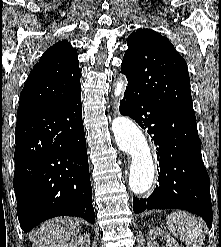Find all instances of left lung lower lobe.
<instances>
[{"mask_svg": "<svg viewBox=\"0 0 221 247\" xmlns=\"http://www.w3.org/2000/svg\"><path fill=\"white\" fill-rule=\"evenodd\" d=\"M120 113L147 129L156 145L160 173L148 198L133 197L136 214L146 209H183L212 226L210 179L201 156L195 116L175 112L126 87Z\"/></svg>", "mask_w": 221, "mask_h": 247, "instance_id": "left-lung-lower-lobe-1", "label": "left lung lower lobe"}]
</instances>
